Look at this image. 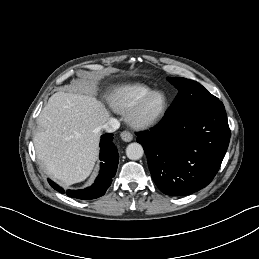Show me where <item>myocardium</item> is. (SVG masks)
I'll return each mask as SVG.
<instances>
[{
  "mask_svg": "<svg viewBox=\"0 0 259 259\" xmlns=\"http://www.w3.org/2000/svg\"><path fill=\"white\" fill-rule=\"evenodd\" d=\"M161 94L164 97V105L162 110L153 117H144L142 112L144 106L148 102V100L156 95ZM169 109V99L167 94L162 90H151L144 97H142L129 111L126 117L128 124L134 129L143 130L151 128L157 125L166 115Z\"/></svg>",
  "mask_w": 259,
  "mask_h": 259,
  "instance_id": "f54148a6",
  "label": "myocardium"
}]
</instances>
